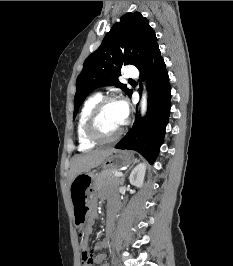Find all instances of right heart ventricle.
<instances>
[{"label": "right heart ventricle", "instance_id": "1", "mask_svg": "<svg viewBox=\"0 0 233 266\" xmlns=\"http://www.w3.org/2000/svg\"><path fill=\"white\" fill-rule=\"evenodd\" d=\"M101 98H102L101 93H95L91 95L90 97L86 99V101L84 102L80 110L78 122H77V138H78L79 148L83 151L89 150L96 145V143L90 141L86 137L85 124H86L90 111Z\"/></svg>", "mask_w": 233, "mask_h": 266}]
</instances>
